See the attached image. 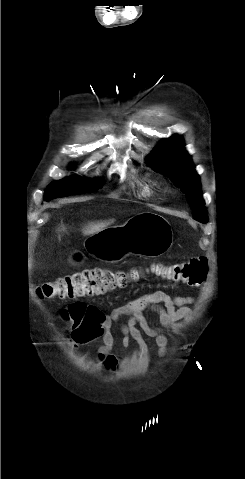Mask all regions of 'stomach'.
<instances>
[{"label":"stomach","instance_id":"1","mask_svg":"<svg viewBox=\"0 0 245 479\" xmlns=\"http://www.w3.org/2000/svg\"><path fill=\"white\" fill-rule=\"evenodd\" d=\"M170 223L154 212H142L130 218L124 225L109 227L88 237L86 251L106 263H117L127 256L159 257L172 245ZM82 254L74 252L70 262L78 264Z\"/></svg>","mask_w":245,"mask_h":479}]
</instances>
